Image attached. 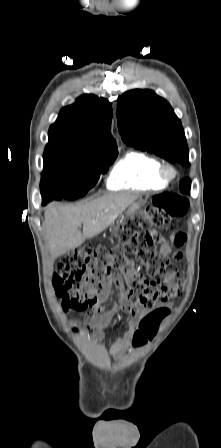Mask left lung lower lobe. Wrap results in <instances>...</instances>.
I'll return each instance as SVG.
<instances>
[{"instance_id":"left-lung-lower-lobe-1","label":"left lung lower lobe","mask_w":221,"mask_h":448,"mask_svg":"<svg viewBox=\"0 0 221 448\" xmlns=\"http://www.w3.org/2000/svg\"><path fill=\"white\" fill-rule=\"evenodd\" d=\"M191 181L189 179H183L180 182V190L182 193L187 194L190 191Z\"/></svg>"}]
</instances>
